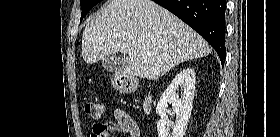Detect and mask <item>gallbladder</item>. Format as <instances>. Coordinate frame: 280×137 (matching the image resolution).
I'll return each instance as SVG.
<instances>
[{
	"label": "gallbladder",
	"instance_id": "1",
	"mask_svg": "<svg viewBox=\"0 0 280 137\" xmlns=\"http://www.w3.org/2000/svg\"><path fill=\"white\" fill-rule=\"evenodd\" d=\"M130 60L125 55L112 54L102 59L103 68L109 73H121L129 66Z\"/></svg>",
	"mask_w": 280,
	"mask_h": 137
}]
</instances>
